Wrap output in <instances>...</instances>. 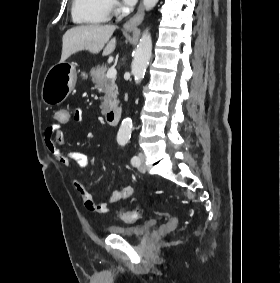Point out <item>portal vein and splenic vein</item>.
<instances>
[{"label": "portal vein and splenic vein", "mask_w": 280, "mask_h": 283, "mask_svg": "<svg viewBox=\"0 0 280 283\" xmlns=\"http://www.w3.org/2000/svg\"><path fill=\"white\" fill-rule=\"evenodd\" d=\"M116 75H117L116 69L114 67H111L106 73V78L114 79Z\"/></svg>", "instance_id": "1"}]
</instances>
